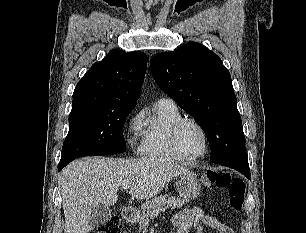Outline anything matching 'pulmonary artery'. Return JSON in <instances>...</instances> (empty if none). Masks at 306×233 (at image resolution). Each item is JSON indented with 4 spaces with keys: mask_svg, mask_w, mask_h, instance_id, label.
I'll list each match as a JSON object with an SVG mask.
<instances>
[{
    "mask_svg": "<svg viewBox=\"0 0 306 233\" xmlns=\"http://www.w3.org/2000/svg\"><path fill=\"white\" fill-rule=\"evenodd\" d=\"M158 101H168L170 103H174V101L170 98H160Z\"/></svg>",
    "mask_w": 306,
    "mask_h": 233,
    "instance_id": "pulmonary-artery-1",
    "label": "pulmonary artery"
}]
</instances>
